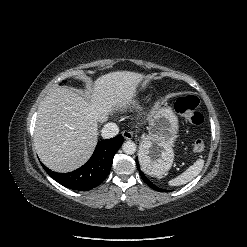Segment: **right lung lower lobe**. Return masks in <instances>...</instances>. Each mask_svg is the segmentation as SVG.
Here are the masks:
<instances>
[{"label":"right lung lower lobe","mask_w":247,"mask_h":247,"mask_svg":"<svg viewBox=\"0 0 247 247\" xmlns=\"http://www.w3.org/2000/svg\"><path fill=\"white\" fill-rule=\"evenodd\" d=\"M124 141L118 135L111 139L100 141L91 158L80 168L69 173L52 172L46 166L44 170L64 187L87 191L99 185L109 175L113 157Z\"/></svg>","instance_id":"1"}]
</instances>
